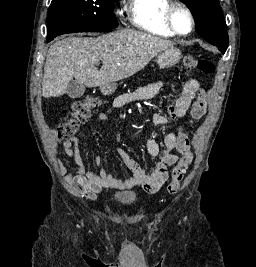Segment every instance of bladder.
<instances>
[{"instance_id": "1", "label": "bladder", "mask_w": 256, "mask_h": 267, "mask_svg": "<svg viewBox=\"0 0 256 267\" xmlns=\"http://www.w3.org/2000/svg\"><path fill=\"white\" fill-rule=\"evenodd\" d=\"M136 200V192L126 191L114 193L112 196V201L118 204H128Z\"/></svg>"}]
</instances>
